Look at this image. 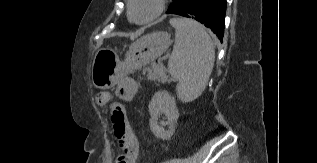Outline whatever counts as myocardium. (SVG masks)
I'll list each match as a JSON object with an SVG mask.
<instances>
[{"instance_id": "f54148a6", "label": "myocardium", "mask_w": 317, "mask_h": 163, "mask_svg": "<svg viewBox=\"0 0 317 163\" xmlns=\"http://www.w3.org/2000/svg\"><path fill=\"white\" fill-rule=\"evenodd\" d=\"M134 0H128V8H127V15L130 21L133 23H136L138 25H146L153 21H155L157 18H159L162 13L165 10L166 6V0H156V10L155 12L148 18L144 20H136L132 16V7H133Z\"/></svg>"}]
</instances>
